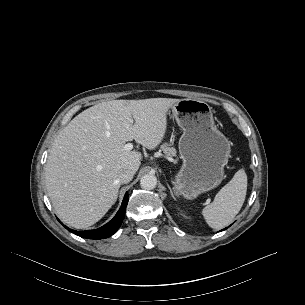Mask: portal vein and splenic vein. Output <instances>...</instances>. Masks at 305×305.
I'll list each match as a JSON object with an SVG mask.
<instances>
[{
    "instance_id": "18ae733b",
    "label": "portal vein and splenic vein",
    "mask_w": 305,
    "mask_h": 305,
    "mask_svg": "<svg viewBox=\"0 0 305 305\" xmlns=\"http://www.w3.org/2000/svg\"><path fill=\"white\" fill-rule=\"evenodd\" d=\"M123 149L125 151H130V150L133 149V144L132 143H127V144L124 145ZM209 202H210V200L208 199L206 203L208 204Z\"/></svg>"
}]
</instances>
